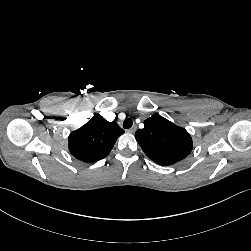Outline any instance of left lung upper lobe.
<instances>
[{"instance_id":"left-lung-upper-lobe-1","label":"left lung upper lobe","mask_w":251,"mask_h":251,"mask_svg":"<svg viewBox=\"0 0 251 251\" xmlns=\"http://www.w3.org/2000/svg\"><path fill=\"white\" fill-rule=\"evenodd\" d=\"M135 138L152 161L164 166L187 157L193 146L184 128L158 114L144 121V128L136 131Z\"/></svg>"}]
</instances>
